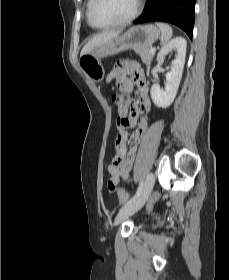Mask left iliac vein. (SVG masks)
<instances>
[{"mask_svg":"<svg viewBox=\"0 0 229 280\" xmlns=\"http://www.w3.org/2000/svg\"><path fill=\"white\" fill-rule=\"evenodd\" d=\"M154 181H155L154 174L151 172L146 177L144 187L139 197L134 202L123 207L118 212L115 218V225H119L122 221H124L126 218L130 217L131 215L135 214L144 206V204L147 202L152 192Z\"/></svg>","mask_w":229,"mask_h":280,"instance_id":"1","label":"left iliac vein"}]
</instances>
